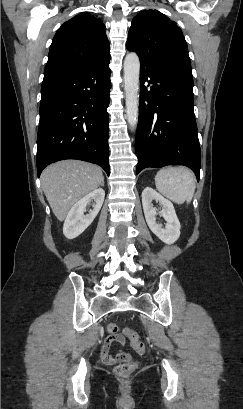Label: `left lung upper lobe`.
Wrapping results in <instances>:
<instances>
[{
  "label": "left lung upper lobe",
  "instance_id": "1",
  "mask_svg": "<svg viewBox=\"0 0 243 409\" xmlns=\"http://www.w3.org/2000/svg\"><path fill=\"white\" fill-rule=\"evenodd\" d=\"M126 47L138 54L141 68L176 61L190 63L181 29L157 10H143L134 17Z\"/></svg>",
  "mask_w": 243,
  "mask_h": 409
}]
</instances>
